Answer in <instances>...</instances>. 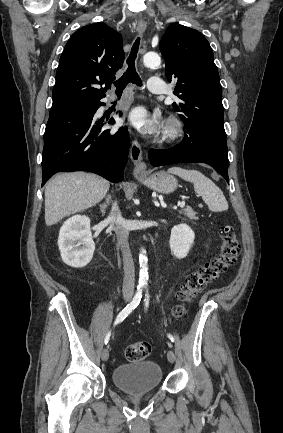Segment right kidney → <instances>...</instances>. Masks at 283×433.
I'll return each instance as SVG.
<instances>
[{
  "instance_id": "right-kidney-1",
  "label": "right kidney",
  "mask_w": 283,
  "mask_h": 433,
  "mask_svg": "<svg viewBox=\"0 0 283 433\" xmlns=\"http://www.w3.org/2000/svg\"><path fill=\"white\" fill-rule=\"evenodd\" d=\"M58 246L65 264L74 268L85 267L92 260L95 250L90 218L75 215L67 219L60 229Z\"/></svg>"
}]
</instances>
